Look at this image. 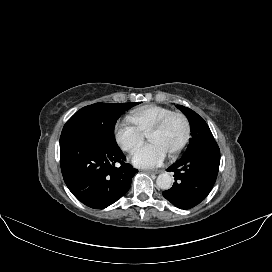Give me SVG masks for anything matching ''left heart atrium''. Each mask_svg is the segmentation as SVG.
I'll list each match as a JSON object with an SVG mask.
<instances>
[{"label": "left heart atrium", "mask_w": 272, "mask_h": 272, "mask_svg": "<svg viewBox=\"0 0 272 272\" xmlns=\"http://www.w3.org/2000/svg\"><path fill=\"white\" fill-rule=\"evenodd\" d=\"M166 152L156 142H149L139 148L132 156V163L142 168L159 166L165 159Z\"/></svg>", "instance_id": "obj_1"}]
</instances>
